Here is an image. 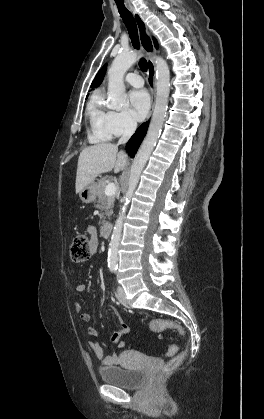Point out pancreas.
<instances>
[{
  "label": "pancreas",
  "instance_id": "obj_1",
  "mask_svg": "<svg viewBox=\"0 0 264 419\" xmlns=\"http://www.w3.org/2000/svg\"><path fill=\"white\" fill-rule=\"evenodd\" d=\"M107 184H108V180L106 178H101L98 181V185H97L98 201L95 207L102 211V213L100 214V219H101L100 224L105 223V217L110 218L111 215L113 214L112 208L114 206L115 198L117 197V195L115 194L112 196H107L105 194V188Z\"/></svg>",
  "mask_w": 264,
  "mask_h": 419
}]
</instances>
